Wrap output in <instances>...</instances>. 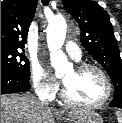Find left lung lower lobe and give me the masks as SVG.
<instances>
[{
	"label": "left lung lower lobe",
	"instance_id": "0a47b994",
	"mask_svg": "<svg viewBox=\"0 0 122 123\" xmlns=\"http://www.w3.org/2000/svg\"><path fill=\"white\" fill-rule=\"evenodd\" d=\"M110 107H117L122 109V97L113 98V101L109 104Z\"/></svg>",
	"mask_w": 122,
	"mask_h": 123
}]
</instances>
